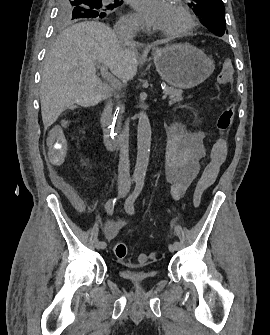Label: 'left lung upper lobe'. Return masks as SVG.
Instances as JSON below:
<instances>
[{"label": "left lung upper lobe", "instance_id": "5c2ea615", "mask_svg": "<svg viewBox=\"0 0 270 335\" xmlns=\"http://www.w3.org/2000/svg\"><path fill=\"white\" fill-rule=\"evenodd\" d=\"M188 6L200 15L202 22L216 35L227 33L222 0H192Z\"/></svg>", "mask_w": 270, "mask_h": 335}]
</instances>
